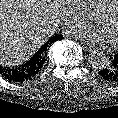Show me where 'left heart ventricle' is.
<instances>
[{
  "label": "left heart ventricle",
  "instance_id": "obj_1",
  "mask_svg": "<svg viewBox=\"0 0 118 118\" xmlns=\"http://www.w3.org/2000/svg\"><path fill=\"white\" fill-rule=\"evenodd\" d=\"M97 23L100 26V30L111 42H118V3L108 18L100 22L97 21Z\"/></svg>",
  "mask_w": 118,
  "mask_h": 118
}]
</instances>
